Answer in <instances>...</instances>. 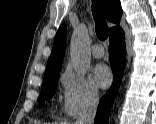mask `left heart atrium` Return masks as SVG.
Segmentation results:
<instances>
[{"mask_svg":"<svg viewBox=\"0 0 156 124\" xmlns=\"http://www.w3.org/2000/svg\"><path fill=\"white\" fill-rule=\"evenodd\" d=\"M93 76L96 84L102 89L109 87L113 78L111 70L104 64H98L94 68Z\"/></svg>","mask_w":156,"mask_h":124,"instance_id":"left-heart-atrium-1","label":"left heart atrium"}]
</instances>
